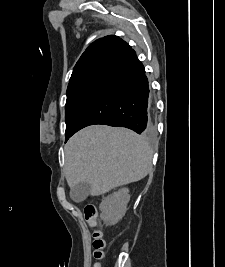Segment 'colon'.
<instances>
[{
  "instance_id": "1",
  "label": "colon",
  "mask_w": 225,
  "mask_h": 267,
  "mask_svg": "<svg viewBox=\"0 0 225 267\" xmlns=\"http://www.w3.org/2000/svg\"><path fill=\"white\" fill-rule=\"evenodd\" d=\"M84 218L91 225H96L97 209L94 205H86L84 208ZM92 247L93 256L96 260H100L104 256L103 249L105 247V240L103 239V234L100 230H94L92 234ZM93 267H100L99 263H95Z\"/></svg>"
}]
</instances>
